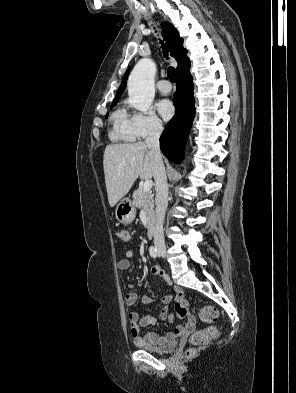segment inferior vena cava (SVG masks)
Masks as SVG:
<instances>
[{
    "mask_svg": "<svg viewBox=\"0 0 296 393\" xmlns=\"http://www.w3.org/2000/svg\"><path fill=\"white\" fill-rule=\"evenodd\" d=\"M163 131L162 124L154 122L149 130L148 137L145 140L154 155V180H155V204H156V225L154 230V244L158 247H165L163 222L167 208L168 183L165 167L159 146V138Z\"/></svg>",
    "mask_w": 296,
    "mask_h": 393,
    "instance_id": "inferior-vena-cava-1",
    "label": "inferior vena cava"
}]
</instances>
